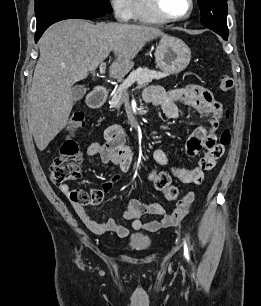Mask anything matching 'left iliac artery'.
<instances>
[{
	"mask_svg": "<svg viewBox=\"0 0 261 306\" xmlns=\"http://www.w3.org/2000/svg\"><path fill=\"white\" fill-rule=\"evenodd\" d=\"M184 255L187 259H189V253L186 241H184Z\"/></svg>",
	"mask_w": 261,
	"mask_h": 306,
	"instance_id": "obj_1",
	"label": "left iliac artery"
}]
</instances>
